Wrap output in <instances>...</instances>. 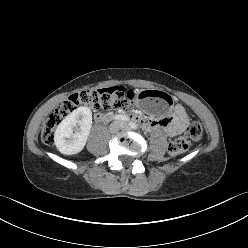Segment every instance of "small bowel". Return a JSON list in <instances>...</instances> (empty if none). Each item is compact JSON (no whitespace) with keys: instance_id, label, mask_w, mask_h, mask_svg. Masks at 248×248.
Returning a JSON list of instances; mask_svg holds the SVG:
<instances>
[{"instance_id":"small-bowel-1","label":"small bowel","mask_w":248,"mask_h":248,"mask_svg":"<svg viewBox=\"0 0 248 248\" xmlns=\"http://www.w3.org/2000/svg\"><path fill=\"white\" fill-rule=\"evenodd\" d=\"M141 124L147 129L161 128L171 138L177 137L182 133L188 122V116L185 109L181 105H177L174 109L173 117L163 119L140 118Z\"/></svg>"}]
</instances>
